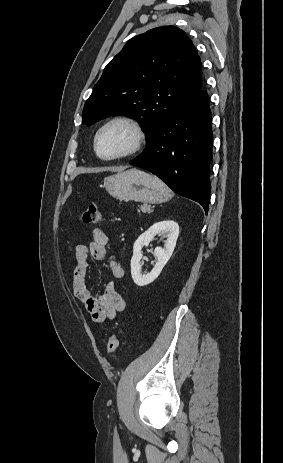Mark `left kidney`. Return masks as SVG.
I'll use <instances>...</instances> for the list:
<instances>
[{
    "instance_id": "left-kidney-1",
    "label": "left kidney",
    "mask_w": 283,
    "mask_h": 463,
    "mask_svg": "<svg viewBox=\"0 0 283 463\" xmlns=\"http://www.w3.org/2000/svg\"><path fill=\"white\" fill-rule=\"evenodd\" d=\"M156 235H161L165 240L164 248L157 247L154 255L157 262L150 273L142 275L140 261L142 259V248L148 246ZM179 235V225L173 220H165L153 224L147 231L141 234L133 246L131 259V275L138 286H145L153 282L161 273L163 267L169 261Z\"/></svg>"
}]
</instances>
